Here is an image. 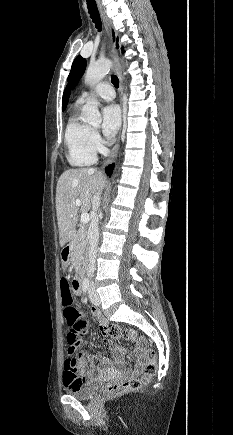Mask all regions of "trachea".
<instances>
[{"mask_svg":"<svg viewBox=\"0 0 233 435\" xmlns=\"http://www.w3.org/2000/svg\"><path fill=\"white\" fill-rule=\"evenodd\" d=\"M87 1V8L88 12L90 14V17L95 24V27L101 31L102 30V22L100 19L99 11L97 8V5L94 0H86ZM111 82L115 86V88L119 87V79L116 75L111 76Z\"/></svg>","mask_w":233,"mask_h":435,"instance_id":"1","label":"trachea"}]
</instances>
